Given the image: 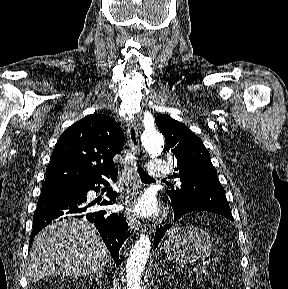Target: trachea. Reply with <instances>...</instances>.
<instances>
[{
  "label": "trachea",
  "instance_id": "trachea-1",
  "mask_svg": "<svg viewBox=\"0 0 288 289\" xmlns=\"http://www.w3.org/2000/svg\"><path fill=\"white\" fill-rule=\"evenodd\" d=\"M137 171L139 173V176L141 178V180H153L140 166L139 163L137 161Z\"/></svg>",
  "mask_w": 288,
  "mask_h": 289
}]
</instances>
